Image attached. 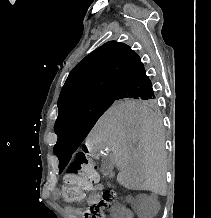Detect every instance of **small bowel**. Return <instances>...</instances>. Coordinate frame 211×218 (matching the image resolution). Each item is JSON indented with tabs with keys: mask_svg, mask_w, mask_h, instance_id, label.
Here are the masks:
<instances>
[{
	"mask_svg": "<svg viewBox=\"0 0 211 218\" xmlns=\"http://www.w3.org/2000/svg\"><path fill=\"white\" fill-rule=\"evenodd\" d=\"M102 190V185L97 183L91 190V194L88 197V203H94L96 201H99L101 199L100 191ZM53 196L55 199L60 198V192L58 190L53 191ZM68 211L74 216V218H78L79 209L70 207L68 208ZM114 217L115 218H134V212L132 209L128 207H117L114 210Z\"/></svg>",
	"mask_w": 211,
	"mask_h": 218,
	"instance_id": "c3829d8e",
	"label": "small bowel"
}]
</instances>
